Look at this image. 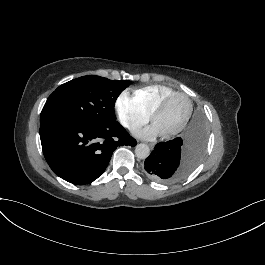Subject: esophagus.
<instances>
[{
  "mask_svg": "<svg viewBox=\"0 0 265 265\" xmlns=\"http://www.w3.org/2000/svg\"><path fill=\"white\" fill-rule=\"evenodd\" d=\"M149 146L152 149L154 147V143H149Z\"/></svg>",
  "mask_w": 265,
  "mask_h": 265,
  "instance_id": "esophagus-1",
  "label": "esophagus"
}]
</instances>
